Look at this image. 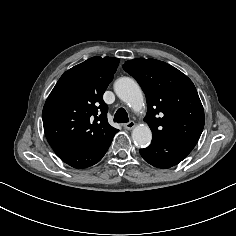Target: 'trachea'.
<instances>
[{
	"instance_id": "1",
	"label": "trachea",
	"mask_w": 236,
	"mask_h": 236,
	"mask_svg": "<svg viewBox=\"0 0 236 236\" xmlns=\"http://www.w3.org/2000/svg\"><path fill=\"white\" fill-rule=\"evenodd\" d=\"M129 121L128 114L124 108H119L114 115V122L127 123Z\"/></svg>"
}]
</instances>
